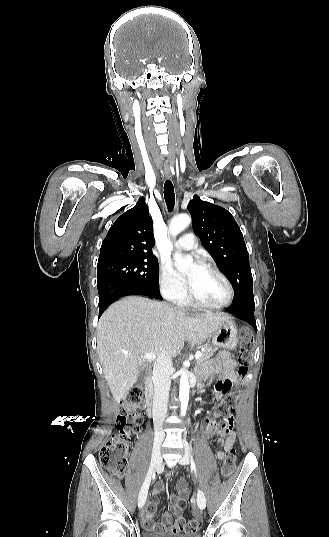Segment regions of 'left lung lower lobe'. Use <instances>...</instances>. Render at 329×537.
I'll use <instances>...</instances> for the list:
<instances>
[{"mask_svg": "<svg viewBox=\"0 0 329 537\" xmlns=\"http://www.w3.org/2000/svg\"><path fill=\"white\" fill-rule=\"evenodd\" d=\"M254 310L255 305H237L226 309L227 312L247 322L257 331Z\"/></svg>", "mask_w": 329, "mask_h": 537, "instance_id": "0a47b994", "label": "left lung lower lobe"}]
</instances>
